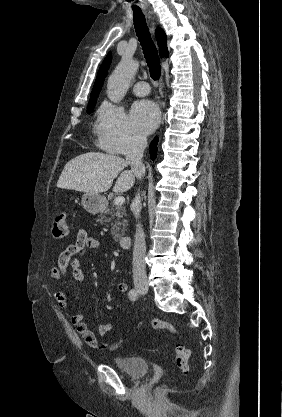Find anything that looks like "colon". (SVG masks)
<instances>
[{
	"instance_id": "1",
	"label": "colon",
	"mask_w": 282,
	"mask_h": 417,
	"mask_svg": "<svg viewBox=\"0 0 282 417\" xmlns=\"http://www.w3.org/2000/svg\"><path fill=\"white\" fill-rule=\"evenodd\" d=\"M69 223L65 214H59L52 222V234L56 238H64L68 235ZM150 328L152 330H167L175 336H180V333L175 324L160 318H155L150 321ZM190 351L183 345L177 344L175 364L182 372L188 371V359Z\"/></svg>"
}]
</instances>
